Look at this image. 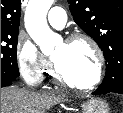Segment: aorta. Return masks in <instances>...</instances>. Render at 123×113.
I'll list each match as a JSON object with an SVG mask.
<instances>
[{"label": "aorta", "instance_id": "762f6f07", "mask_svg": "<svg viewBox=\"0 0 123 113\" xmlns=\"http://www.w3.org/2000/svg\"><path fill=\"white\" fill-rule=\"evenodd\" d=\"M53 1L29 0L24 17L28 34L46 55L53 52L55 45L60 40L59 35L49 28L46 20Z\"/></svg>", "mask_w": 123, "mask_h": 113}]
</instances>
